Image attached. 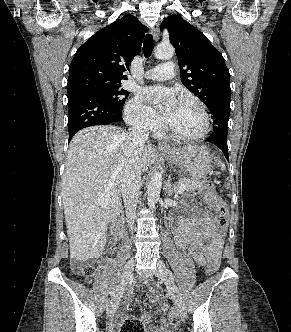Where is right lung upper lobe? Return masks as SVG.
Instances as JSON below:
<instances>
[{
	"instance_id": "right-lung-upper-lobe-1",
	"label": "right lung upper lobe",
	"mask_w": 291,
	"mask_h": 332,
	"mask_svg": "<svg viewBox=\"0 0 291 332\" xmlns=\"http://www.w3.org/2000/svg\"><path fill=\"white\" fill-rule=\"evenodd\" d=\"M147 28L127 14L90 37L69 66L68 96L97 86L121 85L123 73L139 54Z\"/></svg>"
}]
</instances>
